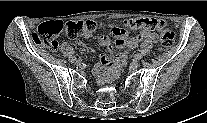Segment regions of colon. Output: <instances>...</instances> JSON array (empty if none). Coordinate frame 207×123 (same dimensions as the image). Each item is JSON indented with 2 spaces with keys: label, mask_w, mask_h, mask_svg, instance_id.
<instances>
[{
  "label": "colon",
  "mask_w": 207,
  "mask_h": 123,
  "mask_svg": "<svg viewBox=\"0 0 207 123\" xmlns=\"http://www.w3.org/2000/svg\"><path fill=\"white\" fill-rule=\"evenodd\" d=\"M124 25L130 29H152L155 30L161 39V46L164 49L171 48L174 45L175 38L165 22L152 18H130L126 19ZM102 27L101 22L95 20L70 21L65 26L59 21L42 23L31 34V39L35 44H44L50 49H57L59 45V34L65 30V34L70 39H77L81 36L93 34ZM125 57H121L115 64L110 79L117 74L118 68L124 62Z\"/></svg>",
  "instance_id": "obj_1"
}]
</instances>
